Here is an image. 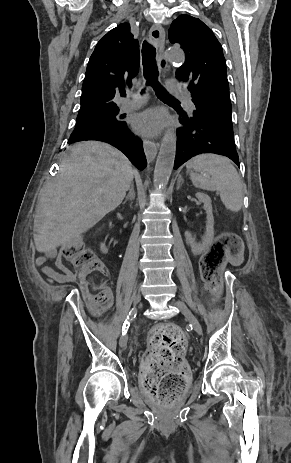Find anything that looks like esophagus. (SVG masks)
Returning a JSON list of instances; mask_svg holds the SVG:
<instances>
[{"mask_svg":"<svg viewBox=\"0 0 291 463\" xmlns=\"http://www.w3.org/2000/svg\"><path fill=\"white\" fill-rule=\"evenodd\" d=\"M149 38L151 42L157 45L158 55L157 61L160 70H164L167 67V60L163 55L165 46V31L159 24H154L149 31ZM159 143L150 140H143V147L146 158L148 161H153L156 157Z\"/></svg>","mask_w":291,"mask_h":463,"instance_id":"esophagus-1","label":"esophagus"}]
</instances>
